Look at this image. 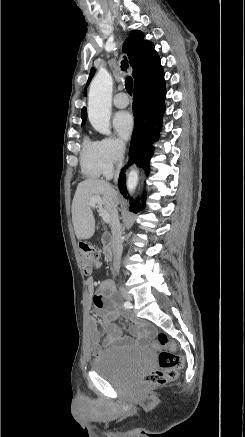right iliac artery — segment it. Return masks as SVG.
Wrapping results in <instances>:
<instances>
[{"label":"right iliac artery","instance_id":"obj_1","mask_svg":"<svg viewBox=\"0 0 245 437\" xmlns=\"http://www.w3.org/2000/svg\"><path fill=\"white\" fill-rule=\"evenodd\" d=\"M124 307L125 308H130L131 304L128 301H126V302H124Z\"/></svg>","mask_w":245,"mask_h":437}]
</instances>
